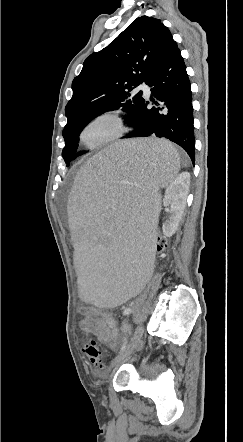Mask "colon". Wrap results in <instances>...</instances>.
<instances>
[{"mask_svg": "<svg viewBox=\"0 0 243 442\" xmlns=\"http://www.w3.org/2000/svg\"><path fill=\"white\" fill-rule=\"evenodd\" d=\"M153 234L157 238V241L155 243L157 253H165L167 248V237L165 235L164 227L158 226L157 229L153 231ZM82 351L89 358L93 365L100 368L104 367L105 352L100 349L96 340H85L82 344Z\"/></svg>", "mask_w": 243, "mask_h": 442, "instance_id": "5ec220e1", "label": "colon"}]
</instances>
